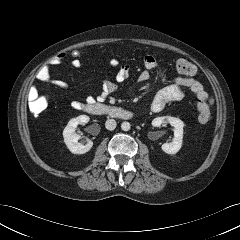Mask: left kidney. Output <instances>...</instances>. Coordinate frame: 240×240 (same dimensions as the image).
<instances>
[{"label":"left kidney","mask_w":240,"mask_h":240,"mask_svg":"<svg viewBox=\"0 0 240 240\" xmlns=\"http://www.w3.org/2000/svg\"><path fill=\"white\" fill-rule=\"evenodd\" d=\"M162 123H169L173 127L174 138L171 143H165L161 148L167 154H176L182 147L184 123L171 116L156 117L152 121L154 127H159Z\"/></svg>","instance_id":"obj_1"}]
</instances>
